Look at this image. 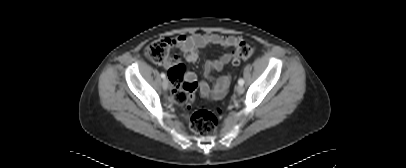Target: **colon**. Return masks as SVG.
I'll list each match as a JSON object with an SVG mask.
<instances>
[{"label":"colon","instance_id":"obj_1","mask_svg":"<svg viewBox=\"0 0 406 168\" xmlns=\"http://www.w3.org/2000/svg\"><path fill=\"white\" fill-rule=\"evenodd\" d=\"M172 44L168 39H159L151 42L145 49V56L153 63L162 64L171 52ZM254 53L253 48L245 42H240L233 54L232 64L239 65L241 61L250 58ZM186 71L183 64L174 65L169 70V77L172 83L171 97L179 105L190 106L194 99L196 83L182 81L181 76ZM190 128L198 135L210 136L217 129V117L207 109H198L187 116Z\"/></svg>","mask_w":406,"mask_h":168}]
</instances>
